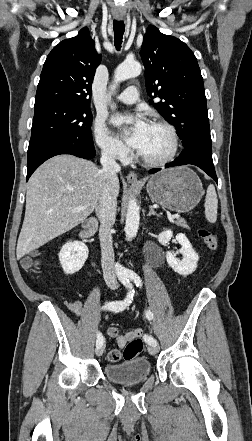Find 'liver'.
<instances>
[{
    "mask_svg": "<svg viewBox=\"0 0 252 441\" xmlns=\"http://www.w3.org/2000/svg\"><path fill=\"white\" fill-rule=\"evenodd\" d=\"M102 183L101 170L91 161L65 154L43 163L28 181L17 258L84 222L99 205ZM119 188L117 177L112 183L116 199ZM79 206L85 209L75 210Z\"/></svg>",
    "mask_w": 252,
    "mask_h": 441,
    "instance_id": "obj_1",
    "label": "liver"
}]
</instances>
